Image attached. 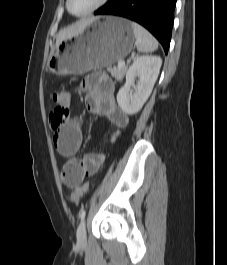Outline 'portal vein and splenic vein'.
Wrapping results in <instances>:
<instances>
[{"label":"portal vein and splenic vein","mask_w":227,"mask_h":265,"mask_svg":"<svg viewBox=\"0 0 227 265\" xmlns=\"http://www.w3.org/2000/svg\"><path fill=\"white\" fill-rule=\"evenodd\" d=\"M128 61H130V59ZM124 65H125L124 61H119L118 62V67H123Z\"/></svg>","instance_id":"portal-vein-and-splenic-vein-1"}]
</instances>
